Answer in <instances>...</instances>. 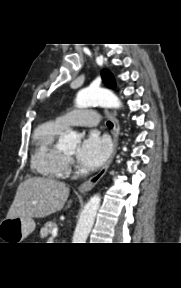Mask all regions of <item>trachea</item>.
I'll return each mask as SVG.
<instances>
[{
	"label": "trachea",
	"mask_w": 181,
	"mask_h": 288,
	"mask_svg": "<svg viewBox=\"0 0 181 288\" xmlns=\"http://www.w3.org/2000/svg\"><path fill=\"white\" fill-rule=\"evenodd\" d=\"M107 126H108L109 128H113V123L110 122V121H108V122H107Z\"/></svg>",
	"instance_id": "trachea-1"
}]
</instances>
